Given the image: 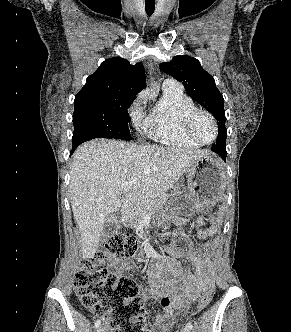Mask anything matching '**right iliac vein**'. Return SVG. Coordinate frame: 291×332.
I'll list each match as a JSON object with an SVG mask.
<instances>
[{"label":"right iliac vein","mask_w":291,"mask_h":332,"mask_svg":"<svg viewBox=\"0 0 291 332\" xmlns=\"http://www.w3.org/2000/svg\"><path fill=\"white\" fill-rule=\"evenodd\" d=\"M97 332H105V329H104V327H99L98 329H97Z\"/></svg>","instance_id":"obj_1"}]
</instances>
